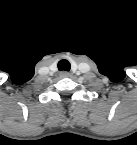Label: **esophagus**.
Returning <instances> with one entry per match:
<instances>
[{"label": "esophagus", "instance_id": "esophagus-1", "mask_svg": "<svg viewBox=\"0 0 137 145\" xmlns=\"http://www.w3.org/2000/svg\"><path fill=\"white\" fill-rule=\"evenodd\" d=\"M60 77L61 78H66V77H69L70 76V73L69 72H66V71H62L60 72Z\"/></svg>", "mask_w": 137, "mask_h": 145}]
</instances>
